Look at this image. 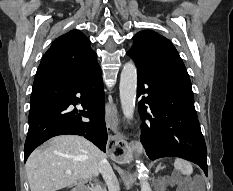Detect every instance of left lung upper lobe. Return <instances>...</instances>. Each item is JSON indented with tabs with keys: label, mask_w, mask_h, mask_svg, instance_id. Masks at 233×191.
<instances>
[{
	"label": "left lung upper lobe",
	"mask_w": 233,
	"mask_h": 191,
	"mask_svg": "<svg viewBox=\"0 0 233 191\" xmlns=\"http://www.w3.org/2000/svg\"><path fill=\"white\" fill-rule=\"evenodd\" d=\"M134 44L127 52L137 68L153 71L191 86L185 65L172 43L160 34L145 30L134 37Z\"/></svg>",
	"instance_id": "obj_1"
}]
</instances>
